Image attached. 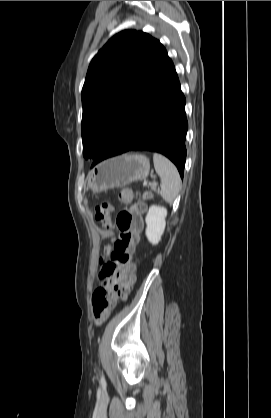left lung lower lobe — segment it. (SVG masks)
Segmentation results:
<instances>
[{
    "mask_svg": "<svg viewBox=\"0 0 271 418\" xmlns=\"http://www.w3.org/2000/svg\"><path fill=\"white\" fill-rule=\"evenodd\" d=\"M185 103L170 59L117 127L92 166L128 151L146 150L168 157L183 178L188 129Z\"/></svg>",
    "mask_w": 271,
    "mask_h": 418,
    "instance_id": "0a47b994",
    "label": "left lung lower lobe"
}]
</instances>
